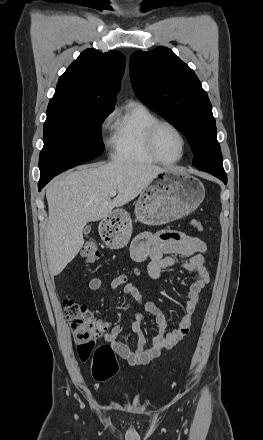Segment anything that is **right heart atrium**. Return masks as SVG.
<instances>
[{"label":"right heart atrium","instance_id":"d8ad5b80","mask_svg":"<svg viewBox=\"0 0 263 440\" xmlns=\"http://www.w3.org/2000/svg\"><path fill=\"white\" fill-rule=\"evenodd\" d=\"M112 118H113V113H110V114H108V115L105 117V119H104V121H103V123H102V129H103V131H108V130H109V127H110V123H111Z\"/></svg>","mask_w":263,"mask_h":440}]
</instances>
